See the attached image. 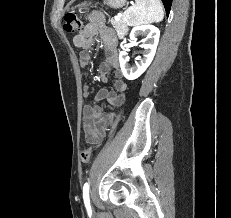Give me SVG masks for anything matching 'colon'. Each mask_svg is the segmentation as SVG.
Returning a JSON list of instances; mask_svg holds the SVG:
<instances>
[{
    "instance_id": "colon-1",
    "label": "colon",
    "mask_w": 231,
    "mask_h": 218,
    "mask_svg": "<svg viewBox=\"0 0 231 218\" xmlns=\"http://www.w3.org/2000/svg\"><path fill=\"white\" fill-rule=\"evenodd\" d=\"M81 27V21L78 16L74 13H68L64 17V30L69 33H75ZM92 156V148L87 147L81 152V160L84 163L90 161Z\"/></svg>"
}]
</instances>
